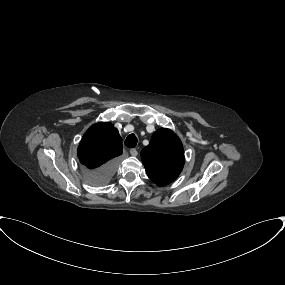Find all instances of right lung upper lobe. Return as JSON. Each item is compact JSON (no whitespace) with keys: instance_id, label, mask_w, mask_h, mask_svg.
Listing matches in <instances>:
<instances>
[{"instance_id":"1","label":"right lung upper lobe","mask_w":285,"mask_h":285,"mask_svg":"<svg viewBox=\"0 0 285 285\" xmlns=\"http://www.w3.org/2000/svg\"><path fill=\"white\" fill-rule=\"evenodd\" d=\"M122 139L118 130L109 122L92 125L78 147L80 162L88 169L94 170L122 154Z\"/></svg>"}]
</instances>
